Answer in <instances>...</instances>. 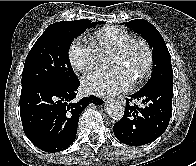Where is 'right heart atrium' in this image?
Segmentation results:
<instances>
[{"label": "right heart atrium", "mask_w": 196, "mask_h": 166, "mask_svg": "<svg viewBox=\"0 0 196 166\" xmlns=\"http://www.w3.org/2000/svg\"><path fill=\"white\" fill-rule=\"evenodd\" d=\"M68 58L76 71L86 72L98 65L100 52L91 40L79 36L70 44Z\"/></svg>", "instance_id": "right-heart-atrium-1"}]
</instances>
